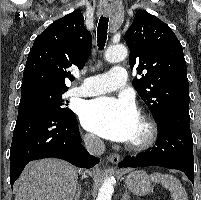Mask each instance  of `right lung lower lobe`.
<instances>
[{
    "label": "right lung lower lobe",
    "mask_w": 201,
    "mask_h": 200,
    "mask_svg": "<svg viewBox=\"0 0 201 200\" xmlns=\"http://www.w3.org/2000/svg\"><path fill=\"white\" fill-rule=\"evenodd\" d=\"M47 157L64 159L82 168L100 162L81 144L74 113L64 115L49 109L19 113L10 148L11 187L30 161Z\"/></svg>",
    "instance_id": "98d812e1"
}]
</instances>
